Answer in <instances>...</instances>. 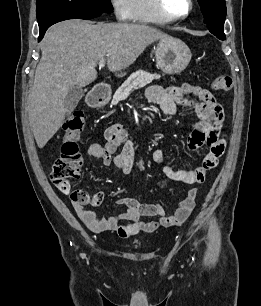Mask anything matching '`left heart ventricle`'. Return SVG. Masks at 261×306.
<instances>
[{
	"mask_svg": "<svg viewBox=\"0 0 261 306\" xmlns=\"http://www.w3.org/2000/svg\"><path fill=\"white\" fill-rule=\"evenodd\" d=\"M166 11L172 16L183 15L188 10V0H162Z\"/></svg>",
	"mask_w": 261,
	"mask_h": 306,
	"instance_id": "obj_1",
	"label": "left heart ventricle"
}]
</instances>
